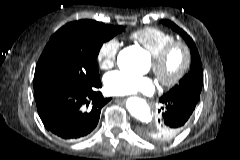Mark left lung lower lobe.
I'll list each match as a JSON object with an SVG mask.
<instances>
[{
  "mask_svg": "<svg viewBox=\"0 0 240 160\" xmlns=\"http://www.w3.org/2000/svg\"><path fill=\"white\" fill-rule=\"evenodd\" d=\"M159 102L163 105V111L158 126L140 127L139 133L150 140L165 141L182 130L198 102L190 98L170 95H163Z\"/></svg>",
  "mask_w": 240,
  "mask_h": 160,
  "instance_id": "left-lung-lower-lobe-1",
  "label": "left lung lower lobe"
}]
</instances>
